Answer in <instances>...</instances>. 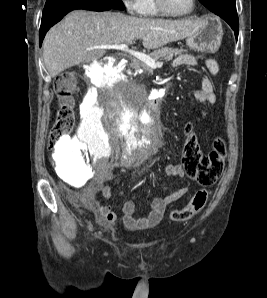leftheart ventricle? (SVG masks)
<instances>
[{
    "mask_svg": "<svg viewBox=\"0 0 267 298\" xmlns=\"http://www.w3.org/2000/svg\"><path fill=\"white\" fill-rule=\"evenodd\" d=\"M167 7L174 13H184L189 10L191 0H165Z\"/></svg>",
    "mask_w": 267,
    "mask_h": 298,
    "instance_id": "b2bd125f",
    "label": "left heart ventricle"
}]
</instances>
